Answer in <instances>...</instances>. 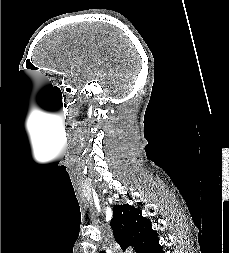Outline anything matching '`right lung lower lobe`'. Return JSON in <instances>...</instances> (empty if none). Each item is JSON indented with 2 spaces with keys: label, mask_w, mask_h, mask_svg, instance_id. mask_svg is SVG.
<instances>
[{
  "label": "right lung lower lobe",
  "mask_w": 229,
  "mask_h": 253,
  "mask_svg": "<svg viewBox=\"0 0 229 253\" xmlns=\"http://www.w3.org/2000/svg\"><path fill=\"white\" fill-rule=\"evenodd\" d=\"M146 253H164L159 240Z\"/></svg>",
  "instance_id": "right-lung-lower-lobe-1"
}]
</instances>
